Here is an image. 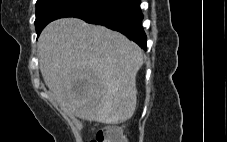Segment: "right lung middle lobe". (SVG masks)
Masks as SVG:
<instances>
[{
	"mask_svg": "<svg viewBox=\"0 0 227 142\" xmlns=\"http://www.w3.org/2000/svg\"><path fill=\"white\" fill-rule=\"evenodd\" d=\"M112 0H37L36 3V32L51 21L63 17H76L91 10L107 5Z\"/></svg>",
	"mask_w": 227,
	"mask_h": 142,
	"instance_id": "1",
	"label": "right lung middle lobe"
}]
</instances>
